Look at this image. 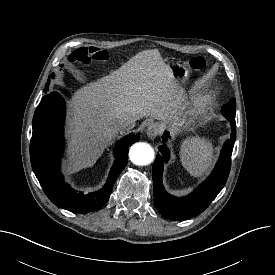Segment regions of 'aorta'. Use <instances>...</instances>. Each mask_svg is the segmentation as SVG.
<instances>
[{"label":"aorta","instance_id":"762f6f07","mask_svg":"<svg viewBox=\"0 0 275 275\" xmlns=\"http://www.w3.org/2000/svg\"><path fill=\"white\" fill-rule=\"evenodd\" d=\"M129 158L136 165H147L153 161L154 151L147 143H135L130 148Z\"/></svg>","mask_w":275,"mask_h":275}]
</instances>
